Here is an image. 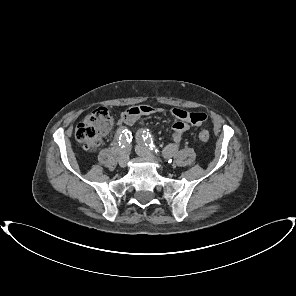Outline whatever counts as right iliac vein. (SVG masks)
Listing matches in <instances>:
<instances>
[{
	"instance_id": "1",
	"label": "right iliac vein",
	"mask_w": 296,
	"mask_h": 296,
	"mask_svg": "<svg viewBox=\"0 0 296 296\" xmlns=\"http://www.w3.org/2000/svg\"><path fill=\"white\" fill-rule=\"evenodd\" d=\"M128 161H129V155H128V153L127 152H123L121 154V156L119 157V159H118V163H119L120 167H122V168L126 167Z\"/></svg>"
}]
</instances>
